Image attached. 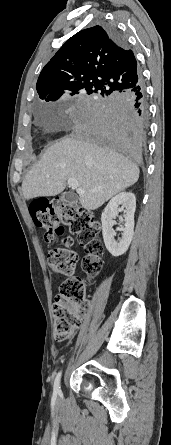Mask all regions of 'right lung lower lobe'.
I'll list each match as a JSON object with an SVG mask.
<instances>
[{
	"label": "right lung lower lobe",
	"mask_w": 171,
	"mask_h": 445,
	"mask_svg": "<svg viewBox=\"0 0 171 445\" xmlns=\"http://www.w3.org/2000/svg\"><path fill=\"white\" fill-rule=\"evenodd\" d=\"M106 28L119 44L126 43L116 27ZM86 115L91 138L131 160H141L148 118L142 82L125 94H107L92 101Z\"/></svg>",
	"instance_id": "98d812e1"
}]
</instances>
